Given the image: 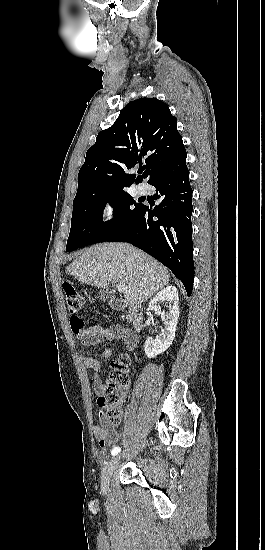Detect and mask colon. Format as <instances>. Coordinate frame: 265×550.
<instances>
[{
	"label": "colon",
	"instance_id": "obj_1",
	"mask_svg": "<svg viewBox=\"0 0 265 550\" xmlns=\"http://www.w3.org/2000/svg\"><path fill=\"white\" fill-rule=\"evenodd\" d=\"M63 290L66 305L71 314L72 329L74 332H78L84 328V297L72 283H64ZM129 365L130 358L125 354L120 355L117 360L111 363L109 379L105 383L102 395L99 398L101 414L110 426H118L122 421L121 406L131 383Z\"/></svg>",
	"mask_w": 265,
	"mask_h": 550
}]
</instances>
